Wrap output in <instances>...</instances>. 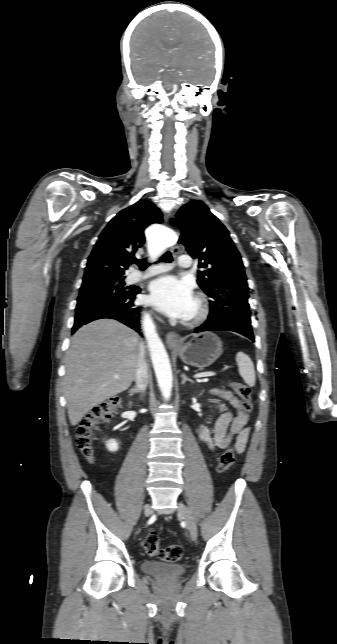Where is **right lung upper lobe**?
I'll return each mask as SVG.
<instances>
[{"instance_id": "1", "label": "right lung upper lobe", "mask_w": 337, "mask_h": 644, "mask_svg": "<svg viewBox=\"0 0 337 644\" xmlns=\"http://www.w3.org/2000/svg\"><path fill=\"white\" fill-rule=\"evenodd\" d=\"M153 223H162V213L152 202L141 200L120 211L99 235L83 281L125 277L124 271L145 242L144 229Z\"/></svg>"}]
</instances>
